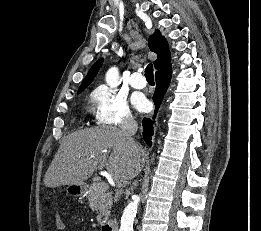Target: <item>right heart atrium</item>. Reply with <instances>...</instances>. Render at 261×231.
Segmentation results:
<instances>
[{"label":"right heart atrium","instance_id":"right-heart-atrium-1","mask_svg":"<svg viewBox=\"0 0 261 231\" xmlns=\"http://www.w3.org/2000/svg\"><path fill=\"white\" fill-rule=\"evenodd\" d=\"M93 115L101 125L125 127L134 122L126 97L107 86H99L91 93Z\"/></svg>","mask_w":261,"mask_h":231}]
</instances>
